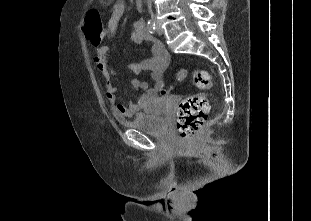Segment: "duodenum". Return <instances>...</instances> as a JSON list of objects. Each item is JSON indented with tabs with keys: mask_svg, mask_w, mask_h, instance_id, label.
Returning a JSON list of instances; mask_svg holds the SVG:
<instances>
[{
	"mask_svg": "<svg viewBox=\"0 0 311 221\" xmlns=\"http://www.w3.org/2000/svg\"><path fill=\"white\" fill-rule=\"evenodd\" d=\"M135 2H136L137 8H138L139 10H142L143 7H144V2H145V0H135ZM140 24H141V26H145V22H144L143 20L140 22Z\"/></svg>",
	"mask_w": 311,
	"mask_h": 221,
	"instance_id": "1",
	"label": "duodenum"
}]
</instances>
